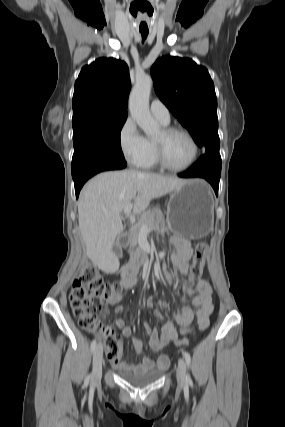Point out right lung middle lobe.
<instances>
[{"label": "right lung middle lobe", "instance_id": "1", "mask_svg": "<svg viewBox=\"0 0 285 427\" xmlns=\"http://www.w3.org/2000/svg\"><path fill=\"white\" fill-rule=\"evenodd\" d=\"M126 118L109 115H82L73 118L72 172L95 155L125 160L120 146V132Z\"/></svg>", "mask_w": 285, "mask_h": 427}]
</instances>
